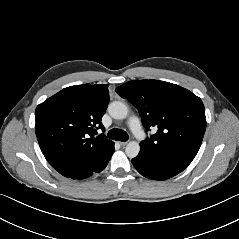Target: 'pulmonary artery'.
I'll return each mask as SVG.
<instances>
[{
  "mask_svg": "<svg viewBox=\"0 0 239 239\" xmlns=\"http://www.w3.org/2000/svg\"><path fill=\"white\" fill-rule=\"evenodd\" d=\"M128 125H129L131 131L134 133V135L138 139L143 138L144 133H143V130H142V126H141L140 120L137 117H132L129 120Z\"/></svg>",
  "mask_w": 239,
  "mask_h": 239,
  "instance_id": "e3ab8cb5",
  "label": "pulmonary artery"
}]
</instances>
